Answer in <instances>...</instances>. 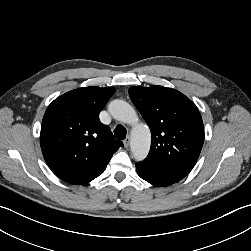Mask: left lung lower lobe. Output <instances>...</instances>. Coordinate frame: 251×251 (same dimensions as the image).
<instances>
[{
	"instance_id": "obj_1",
	"label": "left lung lower lobe",
	"mask_w": 251,
	"mask_h": 251,
	"mask_svg": "<svg viewBox=\"0 0 251 251\" xmlns=\"http://www.w3.org/2000/svg\"><path fill=\"white\" fill-rule=\"evenodd\" d=\"M138 175L154 186H169L180 181L189 172L168 167H157L143 162L136 164Z\"/></svg>"
}]
</instances>
